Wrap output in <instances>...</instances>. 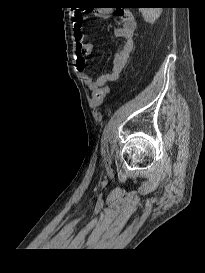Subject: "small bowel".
<instances>
[{
	"label": "small bowel",
	"mask_w": 205,
	"mask_h": 273,
	"mask_svg": "<svg viewBox=\"0 0 205 273\" xmlns=\"http://www.w3.org/2000/svg\"><path fill=\"white\" fill-rule=\"evenodd\" d=\"M113 14L111 9H101L98 11V17L102 19L110 18ZM121 26L115 30V35L123 42L114 56L112 70L105 72L97 78H93L85 71L86 57L94 50L92 42L85 41V35L82 32L84 17L81 13L75 12L73 15V28L76 40V67L81 74L87 87L95 93L105 84L115 81L123 71L133 49V35L136 29V20L134 16L127 11L118 12Z\"/></svg>",
	"instance_id": "c3829d8e"
}]
</instances>
